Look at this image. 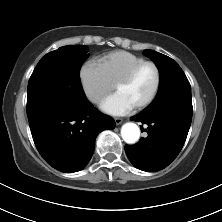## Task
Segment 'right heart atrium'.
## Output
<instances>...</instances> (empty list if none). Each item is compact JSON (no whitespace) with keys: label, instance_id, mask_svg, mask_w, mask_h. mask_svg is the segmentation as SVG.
<instances>
[{"label":"right heart atrium","instance_id":"d8ad5b80","mask_svg":"<svg viewBox=\"0 0 222 222\" xmlns=\"http://www.w3.org/2000/svg\"><path fill=\"white\" fill-rule=\"evenodd\" d=\"M80 80L86 98L93 104L99 103L114 87L100 64L93 60L81 67Z\"/></svg>","mask_w":222,"mask_h":222}]
</instances>
